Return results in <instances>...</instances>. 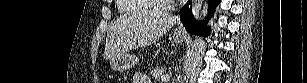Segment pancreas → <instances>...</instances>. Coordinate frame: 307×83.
Segmentation results:
<instances>
[{
	"instance_id": "cf45deb5",
	"label": "pancreas",
	"mask_w": 307,
	"mask_h": 83,
	"mask_svg": "<svg viewBox=\"0 0 307 83\" xmlns=\"http://www.w3.org/2000/svg\"><path fill=\"white\" fill-rule=\"evenodd\" d=\"M164 74L163 68L156 67L151 71V75L155 79H159Z\"/></svg>"
}]
</instances>
